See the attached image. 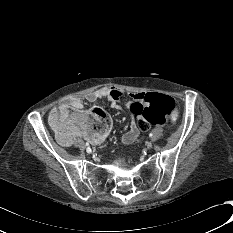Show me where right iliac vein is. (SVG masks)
Masks as SVG:
<instances>
[{
  "label": "right iliac vein",
  "mask_w": 233,
  "mask_h": 233,
  "mask_svg": "<svg viewBox=\"0 0 233 233\" xmlns=\"http://www.w3.org/2000/svg\"><path fill=\"white\" fill-rule=\"evenodd\" d=\"M86 152H87V153H91V151H89L88 148H86Z\"/></svg>",
  "instance_id": "right-iliac-vein-1"
}]
</instances>
